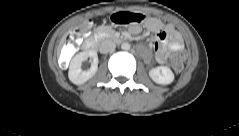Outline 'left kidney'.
<instances>
[{"label": "left kidney", "mask_w": 239, "mask_h": 136, "mask_svg": "<svg viewBox=\"0 0 239 136\" xmlns=\"http://www.w3.org/2000/svg\"><path fill=\"white\" fill-rule=\"evenodd\" d=\"M150 78L157 84L167 85L173 82L174 74L169 67L158 66L149 71Z\"/></svg>", "instance_id": "1"}]
</instances>
